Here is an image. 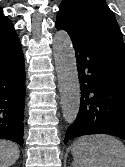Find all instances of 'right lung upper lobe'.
Wrapping results in <instances>:
<instances>
[{
	"instance_id": "cb5924a9",
	"label": "right lung upper lobe",
	"mask_w": 125,
	"mask_h": 167,
	"mask_svg": "<svg viewBox=\"0 0 125 167\" xmlns=\"http://www.w3.org/2000/svg\"><path fill=\"white\" fill-rule=\"evenodd\" d=\"M13 24L7 17L3 16L2 8H0V31L6 29H12Z\"/></svg>"
}]
</instances>
